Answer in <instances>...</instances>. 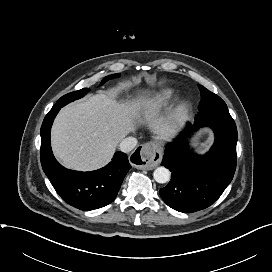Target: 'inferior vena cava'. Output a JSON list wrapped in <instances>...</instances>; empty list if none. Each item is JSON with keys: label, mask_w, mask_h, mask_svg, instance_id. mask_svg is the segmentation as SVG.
I'll return each instance as SVG.
<instances>
[{"label": "inferior vena cava", "mask_w": 272, "mask_h": 272, "mask_svg": "<svg viewBox=\"0 0 272 272\" xmlns=\"http://www.w3.org/2000/svg\"><path fill=\"white\" fill-rule=\"evenodd\" d=\"M136 145H137L136 138L127 137L121 141V143L119 145V149L124 153H128V152L132 151Z\"/></svg>", "instance_id": "inferior-vena-cava-1"}]
</instances>
